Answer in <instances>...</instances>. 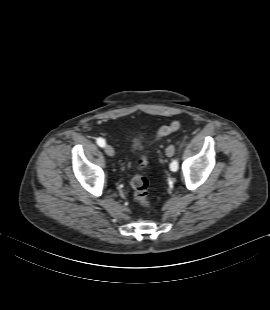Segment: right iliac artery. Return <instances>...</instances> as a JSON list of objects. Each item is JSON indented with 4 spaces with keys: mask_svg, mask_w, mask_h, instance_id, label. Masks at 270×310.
Instances as JSON below:
<instances>
[{
    "mask_svg": "<svg viewBox=\"0 0 270 310\" xmlns=\"http://www.w3.org/2000/svg\"><path fill=\"white\" fill-rule=\"evenodd\" d=\"M97 144L100 147H104L105 146V140L103 138H97Z\"/></svg>",
    "mask_w": 270,
    "mask_h": 310,
    "instance_id": "1",
    "label": "right iliac artery"
}]
</instances>
